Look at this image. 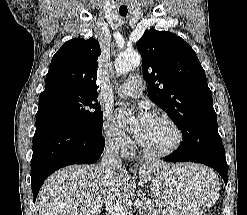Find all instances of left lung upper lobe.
Listing matches in <instances>:
<instances>
[{
	"label": "left lung upper lobe",
	"instance_id": "5c2ea615",
	"mask_svg": "<svg viewBox=\"0 0 247 215\" xmlns=\"http://www.w3.org/2000/svg\"><path fill=\"white\" fill-rule=\"evenodd\" d=\"M137 49L148 96L180 128L182 143H188L193 134L217 131L212 93L190 45L173 33L147 30Z\"/></svg>",
	"mask_w": 247,
	"mask_h": 215
}]
</instances>
